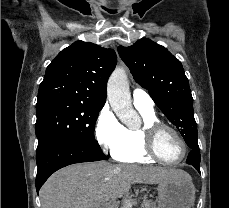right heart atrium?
Instances as JSON below:
<instances>
[{"mask_svg":"<svg viewBox=\"0 0 229 208\" xmlns=\"http://www.w3.org/2000/svg\"><path fill=\"white\" fill-rule=\"evenodd\" d=\"M94 136L99 146L111 154L116 153L126 144L124 126L107 106H104L96 117Z\"/></svg>","mask_w":229,"mask_h":208,"instance_id":"d8ad5b80","label":"right heart atrium"}]
</instances>
